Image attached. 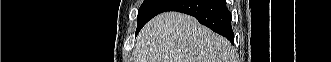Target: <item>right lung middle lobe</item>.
Segmentation results:
<instances>
[{
  "instance_id": "1",
  "label": "right lung middle lobe",
  "mask_w": 331,
  "mask_h": 62,
  "mask_svg": "<svg viewBox=\"0 0 331 62\" xmlns=\"http://www.w3.org/2000/svg\"><path fill=\"white\" fill-rule=\"evenodd\" d=\"M172 1L173 0H144L138 10L136 34L150 19L161 13Z\"/></svg>"
}]
</instances>
